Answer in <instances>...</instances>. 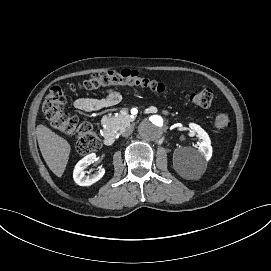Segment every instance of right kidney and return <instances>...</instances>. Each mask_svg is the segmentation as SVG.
Returning <instances> with one entry per match:
<instances>
[{
	"instance_id": "right-kidney-1",
	"label": "right kidney",
	"mask_w": 271,
	"mask_h": 271,
	"mask_svg": "<svg viewBox=\"0 0 271 271\" xmlns=\"http://www.w3.org/2000/svg\"><path fill=\"white\" fill-rule=\"evenodd\" d=\"M96 160V154L91 153L81 159L74 168L73 171V179L80 186H90L100 180L104 173L105 169L101 168L94 174L85 175L84 169L87 168L88 165L92 164Z\"/></svg>"
}]
</instances>
